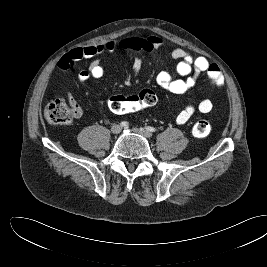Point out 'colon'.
Returning a JSON list of instances; mask_svg holds the SVG:
<instances>
[{"label":"colon","instance_id":"1","mask_svg":"<svg viewBox=\"0 0 267 267\" xmlns=\"http://www.w3.org/2000/svg\"><path fill=\"white\" fill-rule=\"evenodd\" d=\"M157 102V96L150 89H143L135 95H113L108 99V106L113 113L129 114L143 111ZM44 116L52 125H67L73 121L74 111L60 99L49 102L44 110ZM211 132V125L207 120L197 121L192 133L197 138H204Z\"/></svg>","mask_w":267,"mask_h":267}]
</instances>
